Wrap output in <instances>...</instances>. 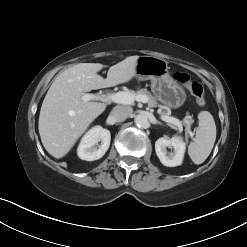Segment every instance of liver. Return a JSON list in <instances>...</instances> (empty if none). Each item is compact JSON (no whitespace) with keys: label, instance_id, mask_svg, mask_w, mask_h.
Instances as JSON below:
<instances>
[{"label":"liver","instance_id":"liver-1","mask_svg":"<svg viewBox=\"0 0 247 247\" xmlns=\"http://www.w3.org/2000/svg\"><path fill=\"white\" fill-rule=\"evenodd\" d=\"M138 58L130 56L111 66L106 79L97 74L104 67L100 63H80L57 76L44 98L38 123L42 144L49 154L64 157L106 109L105 103L84 102V92L130 81L136 74Z\"/></svg>","mask_w":247,"mask_h":247}]
</instances>
